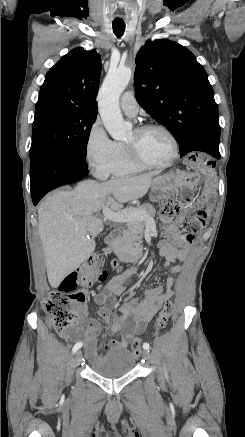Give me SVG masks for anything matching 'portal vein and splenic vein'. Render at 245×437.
<instances>
[{
	"label": "portal vein and splenic vein",
	"instance_id": "obj_1",
	"mask_svg": "<svg viewBox=\"0 0 245 437\" xmlns=\"http://www.w3.org/2000/svg\"><path fill=\"white\" fill-rule=\"evenodd\" d=\"M134 210H122L118 212L111 211L108 205L103 206L104 220H110L113 222H126L134 217Z\"/></svg>",
	"mask_w": 245,
	"mask_h": 437
}]
</instances>
